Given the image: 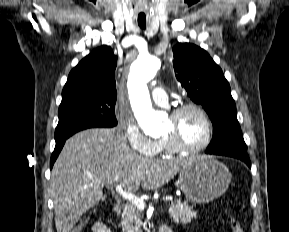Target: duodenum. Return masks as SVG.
<instances>
[{
  "label": "duodenum",
  "mask_w": 289,
  "mask_h": 232,
  "mask_svg": "<svg viewBox=\"0 0 289 232\" xmlns=\"http://www.w3.org/2000/svg\"><path fill=\"white\" fill-rule=\"evenodd\" d=\"M123 207H124V205L121 201H116L114 204V211L117 214H119L122 212ZM159 232H170V230L168 229V227L165 226V227H162Z\"/></svg>",
  "instance_id": "obj_1"
}]
</instances>
